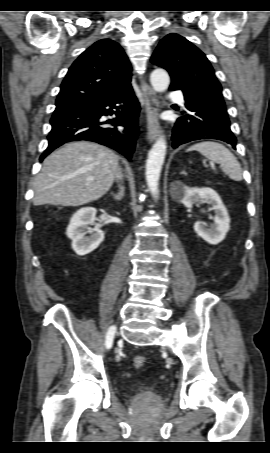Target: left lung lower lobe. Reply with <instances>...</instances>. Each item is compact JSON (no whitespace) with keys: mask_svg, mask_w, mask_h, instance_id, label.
Instances as JSON below:
<instances>
[{"mask_svg":"<svg viewBox=\"0 0 270 453\" xmlns=\"http://www.w3.org/2000/svg\"><path fill=\"white\" fill-rule=\"evenodd\" d=\"M170 90H178L170 87ZM186 111L177 119L173 128L172 147L200 139H218L236 149V137L230 130V121L222 113L210 110L186 100Z\"/></svg>","mask_w":270,"mask_h":453,"instance_id":"0a47b994","label":"left lung lower lobe"}]
</instances>
